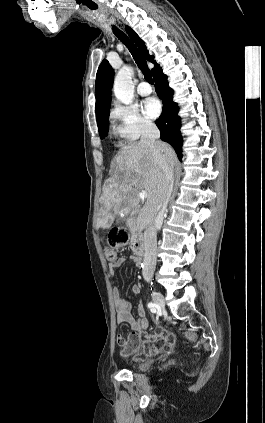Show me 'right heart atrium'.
I'll list each match as a JSON object with an SVG mask.
<instances>
[{
  "label": "right heart atrium",
  "instance_id": "d8ad5b80",
  "mask_svg": "<svg viewBox=\"0 0 265 423\" xmlns=\"http://www.w3.org/2000/svg\"><path fill=\"white\" fill-rule=\"evenodd\" d=\"M119 136L127 141L138 139L153 129V122L135 105L115 104L110 113Z\"/></svg>",
  "mask_w": 265,
  "mask_h": 423
}]
</instances>
